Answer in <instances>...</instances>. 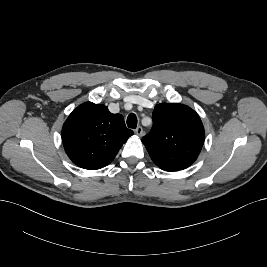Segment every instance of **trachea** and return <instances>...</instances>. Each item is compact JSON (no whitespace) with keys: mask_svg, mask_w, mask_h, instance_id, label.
Instances as JSON below:
<instances>
[{"mask_svg":"<svg viewBox=\"0 0 267 267\" xmlns=\"http://www.w3.org/2000/svg\"><path fill=\"white\" fill-rule=\"evenodd\" d=\"M127 126L132 129H135L137 127V117L135 114L131 113L128 115Z\"/></svg>","mask_w":267,"mask_h":267,"instance_id":"1","label":"trachea"}]
</instances>
